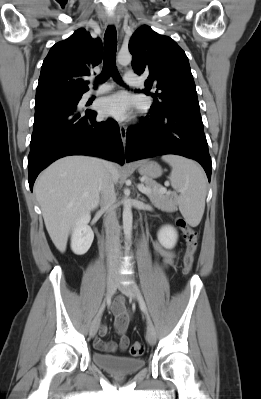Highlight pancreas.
<instances>
[{"label": "pancreas", "instance_id": "pancreas-1", "mask_svg": "<svg viewBox=\"0 0 261 399\" xmlns=\"http://www.w3.org/2000/svg\"><path fill=\"white\" fill-rule=\"evenodd\" d=\"M145 184L150 189V193H147V196L157 207L172 205V208H174L176 201L173 199V195L163 192V187L160 184L150 178H145Z\"/></svg>", "mask_w": 261, "mask_h": 399}]
</instances>
